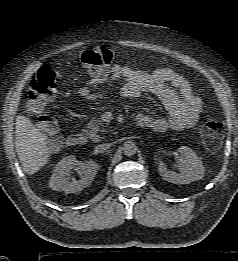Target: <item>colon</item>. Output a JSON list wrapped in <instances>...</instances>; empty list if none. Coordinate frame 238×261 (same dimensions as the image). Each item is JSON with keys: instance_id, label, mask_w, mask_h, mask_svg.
<instances>
[{"instance_id": "1", "label": "colon", "mask_w": 238, "mask_h": 261, "mask_svg": "<svg viewBox=\"0 0 238 261\" xmlns=\"http://www.w3.org/2000/svg\"><path fill=\"white\" fill-rule=\"evenodd\" d=\"M114 60V53L106 47L91 48L83 52L81 62L93 77H102ZM58 87L57 72L53 67L44 66L39 69L30 83L27 95L28 110L38 117L42 130L52 138V144L59 143L57 124L50 116L44 114L47 103L53 99ZM224 124L215 118L207 117L200 129L205 147L217 150L224 137Z\"/></svg>"}]
</instances>
